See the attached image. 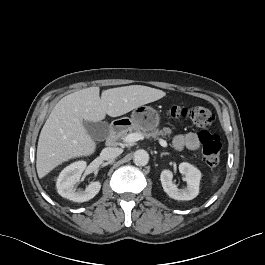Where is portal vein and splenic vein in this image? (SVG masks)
I'll return each instance as SVG.
<instances>
[{
	"label": "portal vein and splenic vein",
	"instance_id": "1",
	"mask_svg": "<svg viewBox=\"0 0 265 265\" xmlns=\"http://www.w3.org/2000/svg\"><path fill=\"white\" fill-rule=\"evenodd\" d=\"M143 138H144V137L142 136V134L136 132V133L128 134V135L125 137L124 141H125L126 143L131 144V143L137 142V141H139V140H142ZM159 144H160L162 147H167V146H168L167 142H166L165 140H163V139H159Z\"/></svg>",
	"mask_w": 265,
	"mask_h": 265
}]
</instances>
